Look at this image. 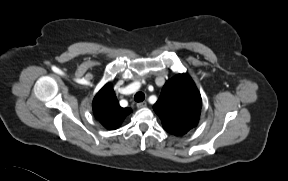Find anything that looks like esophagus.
<instances>
[{"label": "esophagus", "instance_id": "esophagus-1", "mask_svg": "<svg viewBox=\"0 0 288 181\" xmlns=\"http://www.w3.org/2000/svg\"><path fill=\"white\" fill-rule=\"evenodd\" d=\"M147 106V102H140V103H137V108L141 109V108H145Z\"/></svg>", "mask_w": 288, "mask_h": 181}]
</instances>
